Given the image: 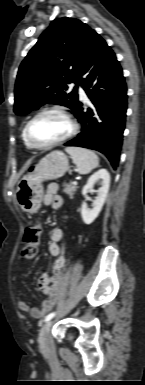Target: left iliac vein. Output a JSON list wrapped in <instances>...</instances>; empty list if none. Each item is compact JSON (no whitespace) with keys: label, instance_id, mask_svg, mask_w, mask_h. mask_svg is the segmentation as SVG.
I'll return each instance as SVG.
<instances>
[{"label":"left iliac vein","instance_id":"obj_1","mask_svg":"<svg viewBox=\"0 0 145 385\" xmlns=\"http://www.w3.org/2000/svg\"><path fill=\"white\" fill-rule=\"evenodd\" d=\"M52 325H53V320H49V321H46L40 329L38 342H39V346L42 348H45L48 344V336Z\"/></svg>","mask_w":145,"mask_h":385}]
</instances>
